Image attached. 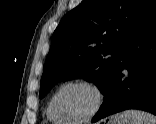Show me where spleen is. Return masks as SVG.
<instances>
[{"mask_svg": "<svg viewBox=\"0 0 156 124\" xmlns=\"http://www.w3.org/2000/svg\"><path fill=\"white\" fill-rule=\"evenodd\" d=\"M122 116L130 124H156V117L139 110H126Z\"/></svg>", "mask_w": 156, "mask_h": 124, "instance_id": "obj_1", "label": "spleen"}]
</instances>
